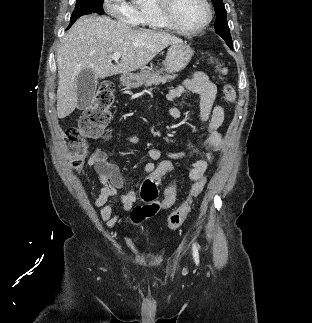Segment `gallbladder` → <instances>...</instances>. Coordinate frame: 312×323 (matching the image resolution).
Returning a JSON list of instances; mask_svg holds the SVG:
<instances>
[{
  "instance_id": "bac80fb5",
  "label": "gallbladder",
  "mask_w": 312,
  "mask_h": 323,
  "mask_svg": "<svg viewBox=\"0 0 312 323\" xmlns=\"http://www.w3.org/2000/svg\"><path fill=\"white\" fill-rule=\"evenodd\" d=\"M97 88V78L93 70H82L77 76L78 110L91 106Z\"/></svg>"
}]
</instances>
